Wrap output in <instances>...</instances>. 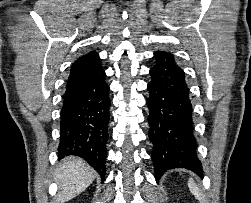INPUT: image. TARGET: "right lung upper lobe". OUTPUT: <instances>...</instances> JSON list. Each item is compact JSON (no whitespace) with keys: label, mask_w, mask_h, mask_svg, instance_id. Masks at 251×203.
<instances>
[{"label":"right lung upper lobe","mask_w":251,"mask_h":203,"mask_svg":"<svg viewBox=\"0 0 251 203\" xmlns=\"http://www.w3.org/2000/svg\"><path fill=\"white\" fill-rule=\"evenodd\" d=\"M100 62L101 61L99 55L96 52H90L86 55L81 56L73 64L70 70V76L68 78L67 84L74 82L78 78L100 66Z\"/></svg>","instance_id":"1"}]
</instances>
